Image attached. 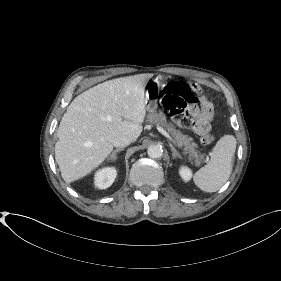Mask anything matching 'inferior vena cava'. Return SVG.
Wrapping results in <instances>:
<instances>
[{
	"instance_id": "inferior-vena-cava-1",
	"label": "inferior vena cava",
	"mask_w": 281,
	"mask_h": 281,
	"mask_svg": "<svg viewBox=\"0 0 281 281\" xmlns=\"http://www.w3.org/2000/svg\"><path fill=\"white\" fill-rule=\"evenodd\" d=\"M131 139L127 136H119L113 140V145L116 147H125L131 143Z\"/></svg>"
}]
</instances>
